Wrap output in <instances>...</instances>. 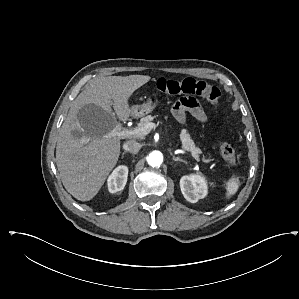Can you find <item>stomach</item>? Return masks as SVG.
<instances>
[{"mask_svg":"<svg viewBox=\"0 0 299 299\" xmlns=\"http://www.w3.org/2000/svg\"><path fill=\"white\" fill-rule=\"evenodd\" d=\"M158 104V100L156 97L151 96L147 99L145 103L142 105H134L131 108V116L134 118H139L145 116L146 114L152 112Z\"/></svg>","mask_w":299,"mask_h":299,"instance_id":"stomach-1","label":"stomach"}]
</instances>
